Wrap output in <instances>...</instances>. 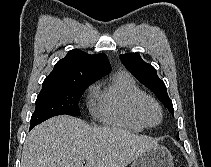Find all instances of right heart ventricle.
Segmentation results:
<instances>
[{
	"instance_id": "obj_1",
	"label": "right heart ventricle",
	"mask_w": 211,
	"mask_h": 167,
	"mask_svg": "<svg viewBox=\"0 0 211 167\" xmlns=\"http://www.w3.org/2000/svg\"><path fill=\"white\" fill-rule=\"evenodd\" d=\"M142 94L144 92L129 73L118 72L109 83L97 88L93 114L106 124L139 132L145 125L136 116L134 103Z\"/></svg>"
}]
</instances>
